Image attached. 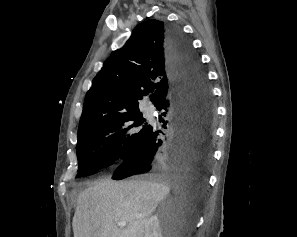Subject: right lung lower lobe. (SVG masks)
I'll return each instance as SVG.
<instances>
[{"mask_svg":"<svg viewBox=\"0 0 297 237\" xmlns=\"http://www.w3.org/2000/svg\"><path fill=\"white\" fill-rule=\"evenodd\" d=\"M166 47L173 78L164 110L163 128L153 127L141 144L116 169L112 179L146 173L207 174L212 160L214 104L211 88L189 40L178 26L167 25ZM165 135L160 138V134Z\"/></svg>","mask_w":297,"mask_h":237,"instance_id":"obj_1","label":"right lung lower lobe"}]
</instances>
